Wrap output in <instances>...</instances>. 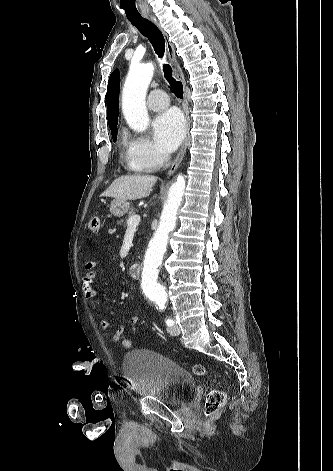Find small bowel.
I'll return each mask as SVG.
<instances>
[{
	"label": "small bowel",
	"instance_id": "obj_1",
	"mask_svg": "<svg viewBox=\"0 0 333 471\" xmlns=\"http://www.w3.org/2000/svg\"><path fill=\"white\" fill-rule=\"evenodd\" d=\"M99 265H100V261L97 259H91L87 261L86 266H85L86 270L81 279L83 292L90 301H95L97 297V290H96L94 282H95V276H96V269L99 267ZM139 322H140V318L138 316H133L130 319L131 325H137ZM99 324L102 330H109L111 327L110 322L105 317H102L100 319ZM124 332H125L124 326L117 327L111 336L112 341L120 342Z\"/></svg>",
	"mask_w": 333,
	"mask_h": 471
}]
</instances>
